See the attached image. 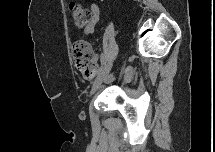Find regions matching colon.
Wrapping results in <instances>:
<instances>
[{"instance_id": "colon-1", "label": "colon", "mask_w": 215, "mask_h": 152, "mask_svg": "<svg viewBox=\"0 0 215 152\" xmlns=\"http://www.w3.org/2000/svg\"><path fill=\"white\" fill-rule=\"evenodd\" d=\"M69 9L77 26L84 27L90 22V13L78 4L70 3ZM71 55L75 67L85 79H91L97 74L98 65L93 48L88 41H75L71 45Z\"/></svg>"}]
</instances>
